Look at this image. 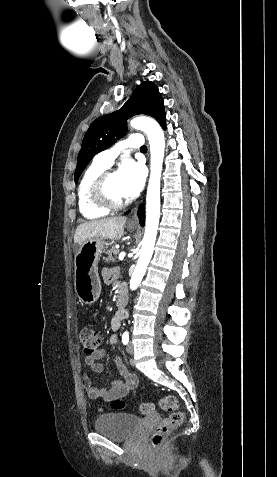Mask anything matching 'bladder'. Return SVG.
<instances>
[{
    "instance_id": "1",
    "label": "bladder",
    "mask_w": 277,
    "mask_h": 477,
    "mask_svg": "<svg viewBox=\"0 0 277 477\" xmlns=\"http://www.w3.org/2000/svg\"><path fill=\"white\" fill-rule=\"evenodd\" d=\"M141 419L133 414L118 412L100 415L94 424L95 431L113 440L131 438L138 430Z\"/></svg>"
}]
</instances>
